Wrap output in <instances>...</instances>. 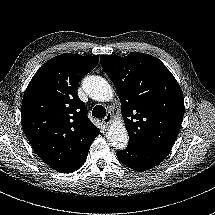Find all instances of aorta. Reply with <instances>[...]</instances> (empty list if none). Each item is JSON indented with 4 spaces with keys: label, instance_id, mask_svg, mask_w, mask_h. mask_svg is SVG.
<instances>
[{
    "label": "aorta",
    "instance_id": "aorta-1",
    "mask_svg": "<svg viewBox=\"0 0 215 215\" xmlns=\"http://www.w3.org/2000/svg\"><path fill=\"white\" fill-rule=\"evenodd\" d=\"M89 88L88 93L92 99L97 101H107L113 96V90L110 84L100 76L88 77ZM107 139L111 146L116 150H123L127 147L129 136L123 125H113L110 127Z\"/></svg>",
    "mask_w": 215,
    "mask_h": 215
}]
</instances>
